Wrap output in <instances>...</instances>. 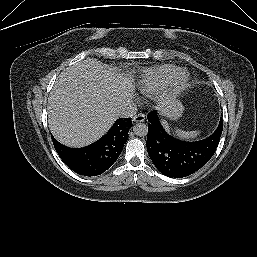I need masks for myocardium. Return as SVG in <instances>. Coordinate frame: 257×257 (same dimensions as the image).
<instances>
[{
	"label": "myocardium",
	"mask_w": 257,
	"mask_h": 257,
	"mask_svg": "<svg viewBox=\"0 0 257 257\" xmlns=\"http://www.w3.org/2000/svg\"><path fill=\"white\" fill-rule=\"evenodd\" d=\"M190 77L185 70H177L168 80L165 90L167 93L176 95L182 92L189 84Z\"/></svg>",
	"instance_id": "myocardium-1"
}]
</instances>
